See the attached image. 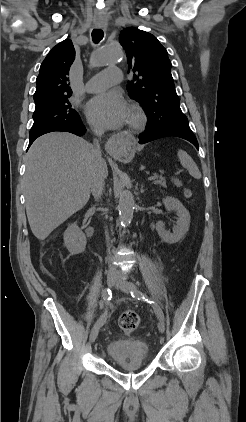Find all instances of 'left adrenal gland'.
Here are the masks:
<instances>
[{"label": "left adrenal gland", "mask_w": 246, "mask_h": 422, "mask_svg": "<svg viewBox=\"0 0 246 422\" xmlns=\"http://www.w3.org/2000/svg\"><path fill=\"white\" fill-rule=\"evenodd\" d=\"M145 190L143 189V184L141 185L140 192L143 193Z\"/></svg>", "instance_id": "1"}]
</instances>
